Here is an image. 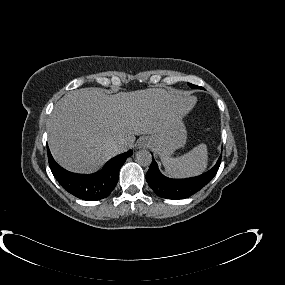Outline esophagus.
<instances>
[{
  "label": "esophagus",
  "instance_id": "34e87169",
  "mask_svg": "<svg viewBox=\"0 0 285 285\" xmlns=\"http://www.w3.org/2000/svg\"><path fill=\"white\" fill-rule=\"evenodd\" d=\"M147 146V142L146 141H140L138 144V148H142V147H146Z\"/></svg>",
  "mask_w": 285,
  "mask_h": 285
}]
</instances>
